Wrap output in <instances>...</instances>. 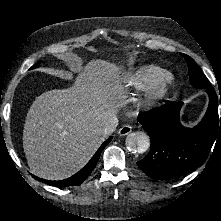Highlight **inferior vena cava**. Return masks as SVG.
<instances>
[{
  "label": "inferior vena cava",
  "instance_id": "inferior-vena-cava-1",
  "mask_svg": "<svg viewBox=\"0 0 221 221\" xmlns=\"http://www.w3.org/2000/svg\"><path fill=\"white\" fill-rule=\"evenodd\" d=\"M117 125L118 119L115 116L110 117L102 130V134L104 136L112 134L115 131Z\"/></svg>",
  "mask_w": 221,
  "mask_h": 221
}]
</instances>
